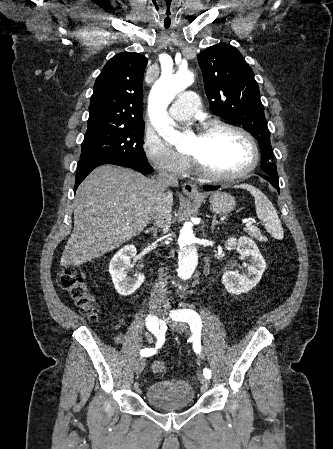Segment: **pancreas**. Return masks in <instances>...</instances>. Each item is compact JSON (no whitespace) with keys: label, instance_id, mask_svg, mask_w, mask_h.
Wrapping results in <instances>:
<instances>
[{"label":"pancreas","instance_id":"cf45deb5","mask_svg":"<svg viewBox=\"0 0 333 449\" xmlns=\"http://www.w3.org/2000/svg\"><path fill=\"white\" fill-rule=\"evenodd\" d=\"M245 231L250 235L252 238H256L258 240H262L263 236L260 232V230L254 226L247 227Z\"/></svg>","mask_w":333,"mask_h":449}]
</instances>
